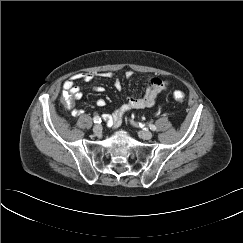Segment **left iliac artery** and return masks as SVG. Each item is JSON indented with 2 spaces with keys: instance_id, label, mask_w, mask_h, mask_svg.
Wrapping results in <instances>:
<instances>
[{
  "instance_id": "obj_1",
  "label": "left iliac artery",
  "mask_w": 243,
  "mask_h": 243,
  "mask_svg": "<svg viewBox=\"0 0 243 243\" xmlns=\"http://www.w3.org/2000/svg\"><path fill=\"white\" fill-rule=\"evenodd\" d=\"M139 126H140V127H143L144 124L139 123ZM149 128H150L152 131H155V130H156V127H155V125H153V124H149Z\"/></svg>"
}]
</instances>
